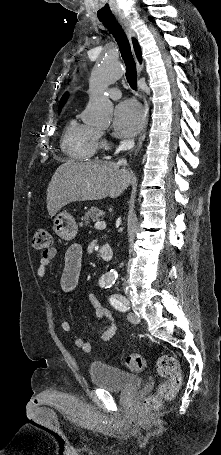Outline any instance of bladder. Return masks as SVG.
<instances>
[{
  "label": "bladder",
  "mask_w": 221,
  "mask_h": 455,
  "mask_svg": "<svg viewBox=\"0 0 221 455\" xmlns=\"http://www.w3.org/2000/svg\"><path fill=\"white\" fill-rule=\"evenodd\" d=\"M89 373L91 381L95 386L110 391L129 392L138 390L144 382L140 376L114 366L96 362L89 365Z\"/></svg>",
  "instance_id": "31cf9c89"
}]
</instances>
